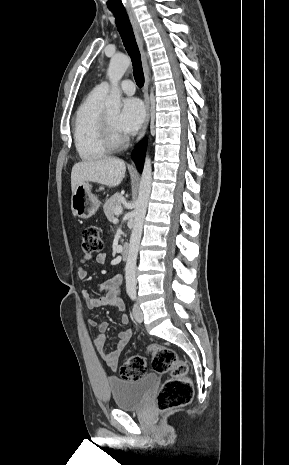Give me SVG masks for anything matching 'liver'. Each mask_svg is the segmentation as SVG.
Returning a JSON list of instances; mask_svg holds the SVG:
<instances>
[{"label":"liver","instance_id":"obj_1","mask_svg":"<svg viewBox=\"0 0 289 465\" xmlns=\"http://www.w3.org/2000/svg\"><path fill=\"white\" fill-rule=\"evenodd\" d=\"M125 162L118 158H103L76 163L71 172L72 193L82 182H95L109 187L118 186L125 175Z\"/></svg>","mask_w":289,"mask_h":465}]
</instances>
